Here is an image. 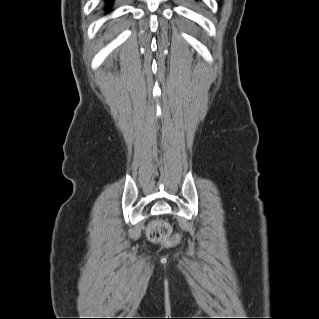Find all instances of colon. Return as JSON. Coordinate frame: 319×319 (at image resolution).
Segmentation results:
<instances>
[{"mask_svg": "<svg viewBox=\"0 0 319 319\" xmlns=\"http://www.w3.org/2000/svg\"><path fill=\"white\" fill-rule=\"evenodd\" d=\"M147 235L151 241L167 245H177L180 242L179 235H173L169 224L164 221H153L148 227Z\"/></svg>", "mask_w": 319, "mask_h": 319, "instance_id": "1", "label": "colon"}]
</instances>
